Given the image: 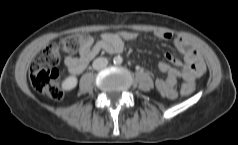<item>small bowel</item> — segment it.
I'll return each instance as SVG.
<instances>
[{"label": "small bowel", "mask_w": 238, "mask_h": 145, "mask_svg": "<svg viewBox=\"0 0 238 145\" xmlns=\"http://www.w3.org/2000/svg\"><path fill=\"white\" fill-rule=\"evenodd\" d=\"M153 35L162 40H172L176 48L184 55L185 62L181 70L171 67L167 62L161 61L158 69L166 74V78H157L155 86L158 92L166 98L173 99L177 96V83L181 77L184 84L194 86L195 79L205 72V63L200 53L192 46L190 41L181 36H175L168 31H155ZM138 34L133 31L106 32L97 41L92 36L86 35L79 50V56L69 55L65 59L68 70L73 74H80L89 65L91 60L101 51L118 54L123 51L124 41L136 39ZM168 61L181 66L179 59L170 53L165 54Z\"/></svg>", "instance_id": "small-bowel-1"}]
</instances>
